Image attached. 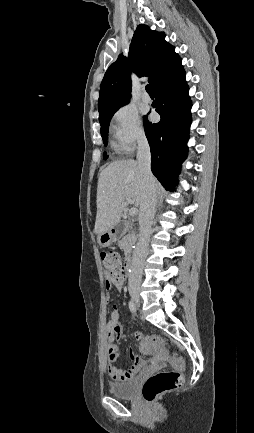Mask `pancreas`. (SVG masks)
Listing matches in <instances>:
<instances>
[{"label":"pancreas","instance_id":"1","mask_svg":"<svg viewBox=\"0 0 254 433\" xmlns=\"http://www.w3.org/2000/svg\"><path fill=\"white\" fill-rule=\"evenodd\" d=\"M135 232L134 229L130 226L125 228V232L120 240V245L122 247H126L129 244H132L135 241Z\"/></svg>","mask_w":254,"mask_h":433}]
</instances>
